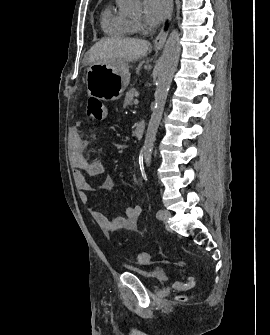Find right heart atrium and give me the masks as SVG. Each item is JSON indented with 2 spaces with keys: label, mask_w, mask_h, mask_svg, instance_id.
<instances>
[{
  "label": "right heart atrium",
  "mask_w": 270,
  "mask_h": 335,
  "mask_svg": "<svg viewBox=\"0 0 270 335\" xmlns=\"http://www.w3.org/2000/svg\"><path fill=\"white\" fill-rule=\"evenodd\" d=\"M143 32V26L140 23H134V33L137 35L142 34Z\"/></svg>",
  "instance_id": "obj_1"
}]
</instances>
